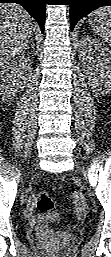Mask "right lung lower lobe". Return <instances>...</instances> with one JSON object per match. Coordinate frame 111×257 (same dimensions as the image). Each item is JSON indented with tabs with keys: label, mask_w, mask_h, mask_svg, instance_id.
I'll return each instance as SVG.
<instances>
[{
	"label": "right lung lower lobe",
	"mask_w": 111,
	"mask_h": 257,
	"mask_svg": "<svg viewBox=\"0 0 111 257\" xmlns=\"http://www.w3.org/2000/svg\"><path fill=\"white\" fill-rule=\"evenodd\" d=\"M0 3H17L22 5L39 23L41 31H44L47 0H0Z\"/></svg>",
	"instance_id": "right-lung-lower-lobe-1"
}]
</instances>
